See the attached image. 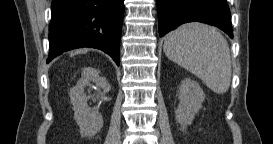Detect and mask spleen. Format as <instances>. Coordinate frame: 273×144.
Masks as SVG:
<instances>
[{
  "label": "spleen",
  "instance_id": "obj_1",
  "mask_svg": "<svg viewBox=\"0 0 273 144\" xmlns=\"http://www.w3.org/2000/svg\"><path fill=\"white\" fill-rule=\"evenodd\" d=\"M166 56L217 94L227 92L231 81V58L226 39L215 28L187 23L167 34Z\"/></svg>",
  "mask_w": 273,
  "mask_h": 144
}]
</instances>
